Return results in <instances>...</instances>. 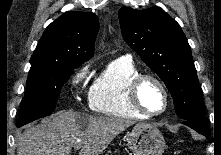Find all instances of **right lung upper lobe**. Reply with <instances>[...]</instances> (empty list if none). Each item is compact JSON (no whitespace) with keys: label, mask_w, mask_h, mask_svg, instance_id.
<instances>
[{"label":"right lung upper lobe","mask_w":221,"mask_h":155,"mask_svg":"<svg viewBox=\"0 0 221 155\" xmlns=\"http://www.w3.org/2000/svg\"><path fill=\"white\" fill-rule=\"evenodd\" d=\"M98 29L95 14L68 11L48 25L30 62L82 64L93 56Z\"/></svg>","instance_id":"1"}]
</instances>
